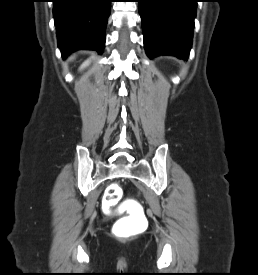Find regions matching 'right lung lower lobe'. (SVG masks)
Masks as SVG:
<instances>
[{"label": "right lung lower lobe", "instance_id": "1", "mask_svg": "<svg viewBox=\"0 0 258 275\" xmlns=\"http://www.w3.org/2000/svg\"><path fill=\"white\" fill-rule=\"evenodd\" d=\"M62 56L79 49L103 52L111 0H53Z\"/></svg>", "mask_w": 258, "mask_h": 275}]
</instances>
